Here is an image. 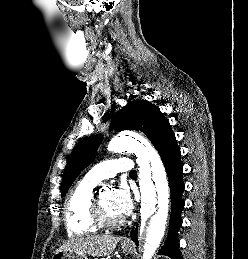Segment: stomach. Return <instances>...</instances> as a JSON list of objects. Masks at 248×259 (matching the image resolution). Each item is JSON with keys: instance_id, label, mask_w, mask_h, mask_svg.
Returning <instances> with one entry per match:
<instances>
[{"instance_id": "0dacf381", "label": "stomach", "mask_w": 248, "mask_h": 259, "mask_svg": "<svg viewBox=\"0 0 248 259\" xmlns=\"http://www.w3.org/2000/svg\"><path fill=\"white\" fill-rule=\"evenodd\" d=\"M121 250L124 253H130L132 251V247L121 245ZM52 259H88V258L84 254L76 253L72 250H66V251H56Z\"/></svg>"}]
</instances>
